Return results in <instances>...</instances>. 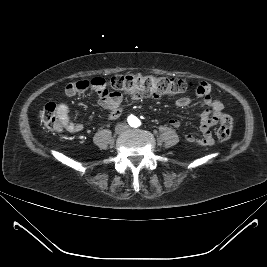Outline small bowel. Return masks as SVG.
Here are the masks:
<instances>
[{"instance_id":"obj_1","label":"small bowel","mask_w":267,"mask_h":267,"mask_svg":"<svg viewBox=\"0 0 267 267\" xmlns=\"http://www.w3.org/2000/svg\"><path fill=\"white\" fill-rule=\"evenodd\" d=\"M92 86H83V84L88 83L87 80H81L77 82L69 83L65 88V93L68 96H75L87 89H92L95 92L102 89L103 80L100 78H95L90 80ZM196 97L201 98V107L203 112L200 117L199 129L201 132L200 137H195L191 134L186 135V140L190 143H195L200 146H211L214 144V138L211 132V128L216 125L221 117L224 115V105L223 103L211 96V87L207 82H200L196 88ZM191 103V98L184 96L176 101V105L179 108H185ZM98 104L107 110L109 119H116L122 113V96L121 94L111 92L104 97L98 96ZM57 114L60 119L61 129L66 130L71 133H77L83 130L84 126L82 123L74 122L69 116V107L65 103H59L57 105ZM170 124L174 128L181 126V121L179 119H172Z\"/></svg>"}]
</instances>
